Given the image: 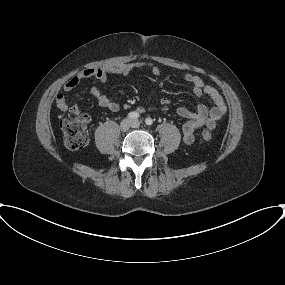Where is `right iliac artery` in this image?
I'll list each match as a JSON object with an SVG mask.
<instances>
[{
    "instance_id": "1",
    "label": "right iliac artery",
    "mask_w": 285,
    "mask_h": 285,
    "mask_svg": "<svg viewBox=\"0 0 285 285\" xmlns=\"http://www.w3.org/2000/svg\"><path fill=\"white\" fill-rule=\"evenodd\" d=\"M128 117L131 119H137L139 117V114L137 112H130L128 114Z\"/></svg>"
}]
</instances>
